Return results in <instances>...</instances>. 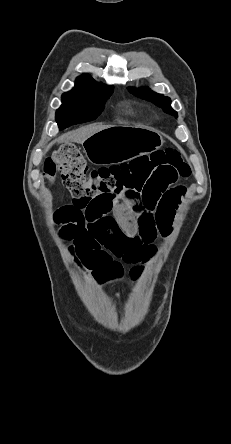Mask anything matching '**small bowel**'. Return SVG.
<instances>
[{"instance_id":"1","label":"small bowel","mask_w":231,"mask_h":444,"mask_svg":"<svg viewBox=\"0 0 231 444\" xmlns=\"http://www.w3.org/2000/svg\"><path fill=\"white\" fill-rule=\"evenodd\" d=\"M183 193L181 187L155 184L141 200L124 195L73 200L59 209L61 236L86 275L101 282L120 279L125 262L134 264L129 276L136 280L156 251V238L171 233Z\"/></svg>"}]
</instances>
